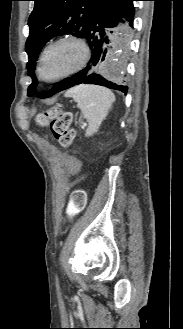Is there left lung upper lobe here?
<instances>
[{"label":"left lung upper lobe","instance_id":"5c2ea615","mask_svg":"<svg viewBox=\"0 0 183 329\" xmlns=\"http://www.w3.org/2000/svg\"><path fill=\"white\" fill-rule=\"evenodd\" d=\"M34 9L29 17L30 34L25 44L28 54V75L32 83L28 95L38 84L35 67L42 47L53 37L65 34L84 38L98 11L110 0H33Z\"/></svg>","mask_w":183,"mask_h":329}]
</instances>
